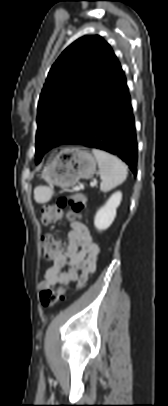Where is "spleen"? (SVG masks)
<instances>
[{
	"mask_svg": "<svg viewBox=\"0 0 168 406\" xmlns=\"http://www.w3.org/2000/svg\"><path fill=\"white\" fill-rule=\"evenodd\" d=\"M101 177L100 190L108 192L123 183L127 177V166L117 157L99 149H93ZM53 194L51 187L39 186L35 189V197L41 202L48 201Z\"/></svg>",
	"mask_w": 168,
	"mask_h": 406,
	"instance_id": "spleen-1",
	"label": "spleen"
}]
</instances>
